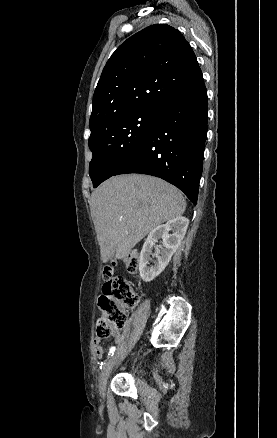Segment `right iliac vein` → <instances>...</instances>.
<instances>
[{"label": "right iliac vein", "instance_id": "obj_1", "mask_svg": "<svg viewBox=\"0 0 277 438\" xmlns=\"http://www.w3.org/2000/svg\"><path fill=\"white\" fill-rule=\"evenodd\" d=\"M117 354L113 355L111 360L104 366L102 369L100 376H99V391L100 394L103 396L106 391L107 381L110 376V373L112 371L113 366L115 365L117 361Z\"/></svg>", "mask_w": 277, "mask_h": 438}]
</instances>
